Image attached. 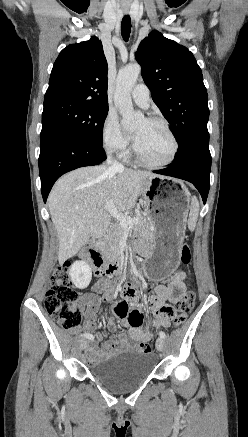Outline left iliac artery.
<instances>
[{
    "instance_id": "1",
    "label": "left iliac artery",
    "mask_w": 248,
    "mask_h": 437,
    "mask_svg": "<svg viewBox=\"0 0 248 437\" xmlns=\"http://www.w3.org/2000/svg\"><path fill=\"white\" fill-rule=\"evenodd\" d=\"M159 336H160L161 338L165 339L166 334H165L163 331H160V332H159Z\"/></svg>"
}]
</instances>
